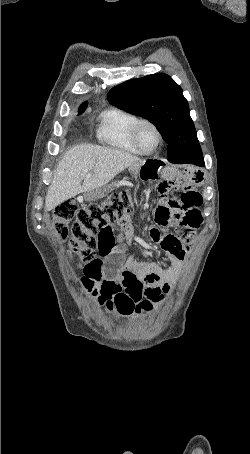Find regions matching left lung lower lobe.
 Returning <instances> with one entry per match:
<instances>
[{"instance_id": "0a47b994", "label": "left lung lower lobe", "mask_w": 250, "mask_h": 454, "mask_svg": "<svg viewBox=\"0 0 250 454\" xmlns=\"http://www.w3.org/2000/svg\"><path fill=\"white\" fill-rule=\"evenodd\" d=\"M168 161L176 164L192 163L195 165L204 166L203 156L183 155L181 157L169 158Z\"/></svg>"}]
</instances>
